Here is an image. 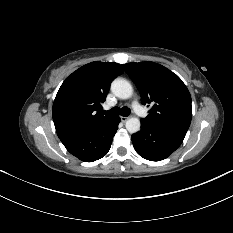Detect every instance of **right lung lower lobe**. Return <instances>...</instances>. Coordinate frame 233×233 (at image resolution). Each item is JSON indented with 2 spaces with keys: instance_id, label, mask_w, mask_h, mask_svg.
<instances>
[{
  "instance_id": "98d812e1",
  "label": "right lung lower lobe",
  "mask_w": 233,
  "mask_h": 233,
  "mask_svg": "<svg viewBox=\"0 0 233 233\" xmlns=\"http://www.w3.org/2000/svg\"><path fill=\"white\" fill-rule=\"evenodd\" d=\"M119 122V117H113L60 140L72 155L84 162H93L109 151Z\"/></svg>"
}]
</instances>
